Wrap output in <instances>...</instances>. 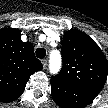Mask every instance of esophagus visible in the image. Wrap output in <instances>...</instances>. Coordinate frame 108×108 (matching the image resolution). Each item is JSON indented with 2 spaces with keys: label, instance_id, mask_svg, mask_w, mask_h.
<instances>
[{
  "label": "esophagus",
  "instance_id": "obj_1",
  "mask_svg": "<svg viewBox=\"0 0 108 108\" xmlns=\"http://www.w3.org/2000/svg\"><path fill=\"white\" fill-rule=\"evenodd\" d=\"M41 62H42L43 68L45 69L47 67V64H48L47 59H43V60H41Z\"/></svg>",
  "mask_w": 108,
  "mask_h": 108
}]
</instances>
